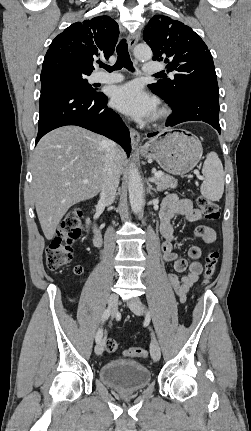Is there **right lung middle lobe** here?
I'll return each mask as SVG.
<instances>
[{
	"instance_id": "dd1d6c3e",
	"label": "right lung middle lobe",
	"mask_w": 251,
	"mask_h": 431,
	"mask_svg": "<svg viewBox=\"0 0 251 431\" xmlns=\"http://www.w3.org/2000/svg\"><path fill=\"white\" fill-rule=\"evenodd\" d=\"M90 74V71L82 69L70 62L58 61L42 68L41 82L48 80H64L74 84L84 91L91 92L94 89L86 79V76H89Z\"/></svg>"
}]
</instances>
